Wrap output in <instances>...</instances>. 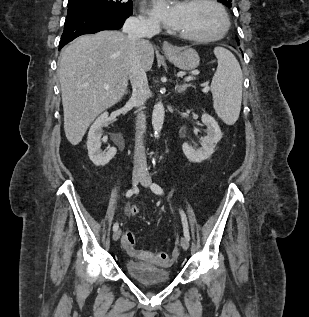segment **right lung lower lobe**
<instances>
[{"label":"right lung lower lobe","mask_w":309,"mask_h":317,"mask_svg":"<svg viewBox=\"0 0 309 317\" xmlns=\"http://www.w3.org/2000/svg\"><path fill=\"white\" fill-rule=\"evenodd\" d=\"M129 16L130 14H121L114 11L70 8L65 20L59 50L80 35L92 34L101 30L119 29Z\"/></svg>","instance_id":"right-lung-lower-lobe-1"}]
</instances>
